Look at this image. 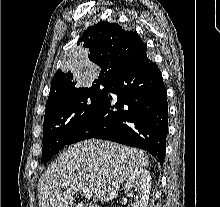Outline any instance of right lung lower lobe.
<instances>
[{"label":"right lung lower lobe","mask_w":220,"mask_h":207,"mask_svg":"<svg viewBox=\"0 0 220 207\" xmlns=\"http://www.w3.org/2000/svg\"><path fill=\"white\" fill-rule=\"evenodd\" d=\"M117 102L102 106L70 137L68 144L97 138L141 148L163 164L168 132L167 91L162 74L147 54L135 59L109 84Z\"/></svg>","instance_id":"right-lung-lower-lobe-1"}]
</instances>
